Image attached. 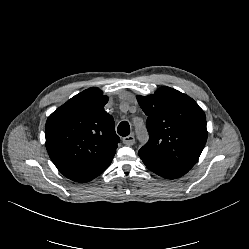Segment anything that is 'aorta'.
Listing matches in <instances>:
<instances>
[{
  "mask_svg": "<svg viewBox=\"0 0 249 249\" xmlns=\"http://www.w3.org/2000/svg\"><path fill=\"white\" fill-rule=\"evenodd\" d=\"M137 136L139 140L144 139L145 137V132L142 130V128L137 129Z\"/></svg>",
  "mask_w": 249,
  "mask_h": 249,
  "instance_id": "obj_1",
  "label": "aorta"
}]
</instances>
